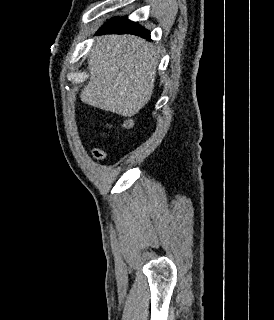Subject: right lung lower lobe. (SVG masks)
Here are the masks:
<instances>
[{
    "label": "right lung lower lobe",
    "mask_w": 274,
    "mask_h": 320,
    "mask_svg": "<svg viewBox=\"0 0 274 320\" xmlns=\"http://www.w3.org/2000/svg\"><path fill=\"white\" fill-rule=\"evenodd\" d=\"M106 26L102 27L97 34H134L141 36L142 38L150 39V32L143 29L137 23L130 20H126L124 17L111 19L109 22L105 23Z\"/></svg>",
    "instance_id": "98d812e1"
}]
</instances>
